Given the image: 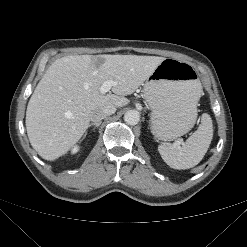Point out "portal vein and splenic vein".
I'll return each mask as SVG.
<instances>
[{
  "mask_svg": "<svg viewBox=\"0 0 247 247\" xmlns=\"http://www.w3.org/2000/svg\"><path fill=\"white\" fill-rule=\"evenodd\" d=\"M114 85H116V82H115V81H113V80H107V81H105V82L102 84V86H101V88H100V91H101L102 93H107V92H109V91L111 90V88H112Z\"/></svg>",
  "mask_w": 247,
  "mask_h": 247,
  "instance_id": "18ae733b",
  "label": "portal vein and splenic vein"
}]
</instances>
